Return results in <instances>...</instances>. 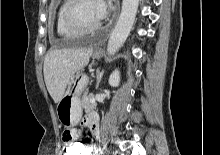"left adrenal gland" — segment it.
<instances>
[{"label": "left adrenal gland", "mask_w": 220, "mask_h": 155, "mask_svg": "<svg viewBox=\"0 0 220 155\" xmlns=\"http://www.w3.org/2000/svg\"><path fill=\"white\" fill-rule=\"evenodd\" d=\"M103 74H104V71L100 72L99 70H97V72H96V78H97L96 89H98V87L101 83V79H102Z\"/></svg>", "instance_id": "left-adrenal-gland-1"}]
</instances>
